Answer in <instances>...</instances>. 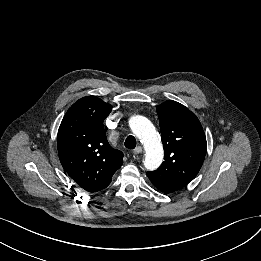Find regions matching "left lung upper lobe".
<instances>
[{"instance_id": "1", "label": "left lung upper lobe", "mask_w": 261, "mask_h": 261, "mask_svg": "<svg viewBox=\"0 0 261 261\" xmlns=\"http://www.w3.org/2000/svg\"><path fill=\"white\" fill-rule=\"evenodd\" d=\"M164 147L162 165L147 172L152 184L165 193L187 185L199 172L207 150L198 118L184 105L168 100L156 108Z\"/></svg>"}]
</instances>
